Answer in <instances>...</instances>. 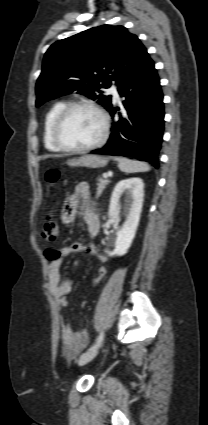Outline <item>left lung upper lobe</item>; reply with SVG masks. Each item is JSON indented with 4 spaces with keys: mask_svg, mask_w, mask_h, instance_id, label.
I'll list each match as a JSON object with an SVG mask.
<instances>
[{
    "mask_svg": "<svg viewBox=\"0 0 208 425\" xmlns=\"http://www.w3.org/2000/svg\"><path fill=\"white\" fill-rule=\"evenodd\" d=\"M146 53L138 37L123 26L102 25L59 40L45 53L36 106L77 91L108 109L111 96L101 89L109 88L111 80L120 85Z\"/></svg>",
    "mask_w": 208,
    "mask_h": 425,
    "instance_id": "5c2ea615",
    "label": "left lung upper lobe"
}]
</instances>
